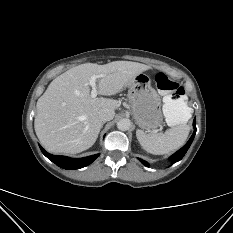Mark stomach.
I'll return each instance as SVG.
<instances>
[{"label":"stomach","mask_w":233,"mask_h":233,"mask_svg":"<svg viewBox=\"0 0 233 233\" xmlns=\"http://www.w3.org/2000/svg\"><path fill=\"white\" fill-rule=\"evenodd\" d=\"M136 124L143 130L155 129L163 122L161 99L146 73H139L126 85Z\"/></svg>","instance_id":"1"}]
</instances>
